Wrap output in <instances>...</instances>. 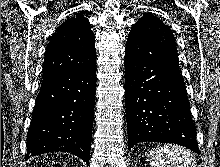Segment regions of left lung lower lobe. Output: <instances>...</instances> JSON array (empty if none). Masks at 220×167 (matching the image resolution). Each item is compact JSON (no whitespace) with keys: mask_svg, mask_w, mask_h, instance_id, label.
Segmentation results:
<instances>
[{"mask_svg":"<svg viewBox=\"0 0 220 167\" xmlns=\"http://www.w3.org/2000/svg\"><path fill=\"white\" fill-rule=\"evenodd\" d=\"M128 149L139 142L175 143L200 154L179 66L125 52Z\"/></svg>","mask_w":220,"mask_h":167,"instance_id":"left-lung-lower-lobe-1","label":"left lung lower lobe"}]
</instances>
